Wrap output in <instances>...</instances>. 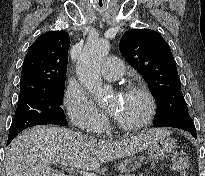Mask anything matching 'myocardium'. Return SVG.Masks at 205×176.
Returning <instances> with one entry per match:
<instances>
[{
	"label": "myocardium",
	"mask_w": 205,
	"mask_h": 176,
	"mask_svg": "<svg viewBox=\"0 0 205 176\" xmlns=\"http://www.w3.org/2000/svg\"><path fill=\"white\" fill-rule=\"evenodd\" d=\"M128 92L129 93L131 92L139 93L146 99L147 105H148V111H147L145 118L139 123L134 124V125H128V124L122 123L118 121L115 117H113V121H114V124L117 126V128L123 131L133 132V131L141 130L151 123L156 113V102H155V98L153 94L149 91V89H147L143 85H140V84L132 85L128 88Z\"/></svg>",
	"instance_id": "f54148a6"
}]
</instances>
